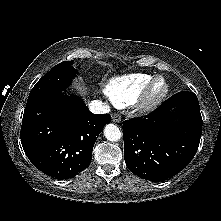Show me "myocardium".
<instances>
[{
	"instance_id": "f54148a6",
	"label": "myocardium",
	"mask_w": 221,
	"mask_h": 221,
	"mask_svg": "<svg viewBox=\"0 0 221 221\" xmlns=\"http://www.w3.org/2000/svg\"><path fill=\"white\" fill-rule=\"evenodd\" d=\"M158 81L164 82V89L162 92L156 94L154 93V86ZM169 91L170 85L164 76L157 75L152 77L137 99V109L145 113L156 109L168 96Z\"/></svg>"
}]
</instances>
